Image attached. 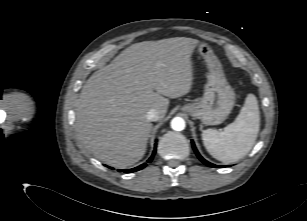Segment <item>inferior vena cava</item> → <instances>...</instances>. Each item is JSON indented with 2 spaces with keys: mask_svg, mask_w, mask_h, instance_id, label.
Instances as JSON below:
<instances>
[{
  "mask_svg": "<svg viewBox=\"0 0 307 221\" xmlns=\"http://www.w3.org/2000/svg\"><path fill=\"white\" fill-rule=\"evenodd\" d=\"M146 118L149 121H158L160 119L159 112L156 109H151L147 112Z\"/></svg>",
  "mask_w": 307,
  "mask_h": 221,
  "instance_id": "602c4592",
  "label": "inferior vena cava"
}]
</instances>
